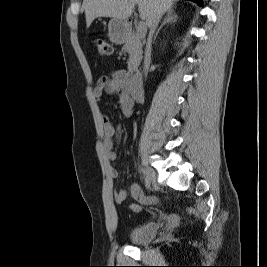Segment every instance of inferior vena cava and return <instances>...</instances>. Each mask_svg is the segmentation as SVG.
Listing matches in <instances>:
<instances>
[{
  "mask_svg": "<svg viewBox=\"0 0 267 267\" xmlns=\"http://www.w3.org/2000/svg\"><path fill=\"white\" fill-rule=\"evenodd\" d=\"M160 18H161L160 14L156 15L153 18L151 26H150V32H149V36H148L147 43H146L145 58H144V74H145V76L147 75V71H148V68H149V62H150V58H151L152 38H153V35H154V32H155V29L158 26Z\"/></svg>",
  "mask_w": 267,
  "mask_h": 267,
  "instance_id": "inferior-vena-cava-1",
  "label": "inferior vena cava"
}]
</instances>
